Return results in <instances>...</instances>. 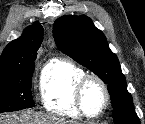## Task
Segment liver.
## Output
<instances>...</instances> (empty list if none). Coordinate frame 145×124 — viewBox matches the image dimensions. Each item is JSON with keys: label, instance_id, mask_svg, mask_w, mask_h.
<instances>
[{"label": "liver", "instance_id": "liver-1", "mask_svg": "<svg viewBox=\"0 0 145 124\" xmlns=\"http://www.w3.org/2000/svg\"><path fill=\"white\" fill-rule=\"evenodd\" d=\"M0 124H69L66 120L49 114L22 112L19 116L7 114L0 116Z\"/></svg>", "mask_w": 145, "mask_h": 124}]
</instances>
